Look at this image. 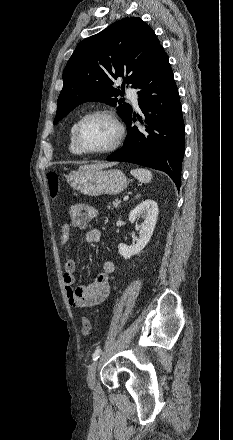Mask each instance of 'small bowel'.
Masks as SVG:
<instances>
[{
  "label": "small bowel",
  "mask_w": 233,
  "mask_h": 440,
  "mask_svg": "<svg viewBox=\"0 0 233 440\" xmlns=\"http://www.w3.org/2000/svg\"><path fill=\"white\" fill-rule=\"evenodd\" d=\"M99 216V211L84 203L70 207L68 221L62 226L61 243L66 245L74 229H85L89 222ZM101 233L98 229H89L85 232L84 239L89 244L100 241ZM76 261L72 258L64 264L63 281L68 303L74 308L93 307L103 303L110 294L109 276L114 272V263L104 261L101 270L96 274L91 283L74 287Z\"/></svg>",
  "instance_id": "1"
}]
</instances>
